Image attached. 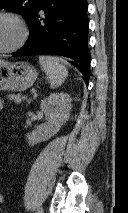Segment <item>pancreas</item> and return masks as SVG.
I'll use <instances>...</instances> for the list:
<instances>
[{
    "mask_svg": "<svg viewBox=\"0 0 128 213\" xmlns=\"http://www.w3.org/2000/svg\"><path fill=\"white\" fill-rule=\"evenodd\" d=\"M8 98L10 100H13L16 104H20L22 102V100H25L26 98L25 97H22L21 95H15V94H12V95H9ZM28 103L30 101H27Z\"/></svg>",
    "mask_w": 128,
    "mask_h": 213,
    "instance_id": "cf45deb5",
    "label": "pancreas"
}]
</instances>
